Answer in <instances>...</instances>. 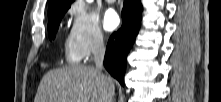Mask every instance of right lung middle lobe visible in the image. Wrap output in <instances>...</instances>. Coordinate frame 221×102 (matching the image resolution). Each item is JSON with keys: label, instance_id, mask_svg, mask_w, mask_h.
Returning a JSON list of instances; mask_svg holds the SVG:
<instances>
[{"label": "right lung middle lobe", "instance_id": "right-lung-middle-lobe-1", "mask_svg": "<svg viewBox=\"0 0 221 102\" xmlns=\"http://www.w3.org/2000/svg\"><path fill=\"white\" fill-rule=\"evenodd\" d=\"M67 10L68 8L62 9L58 11L57 13H55L51 18H49L48 35H49L50 40L55 38L60 21Z\"/></svg>", "mask_w": 221, "mask_h": 102}]
</instances>
